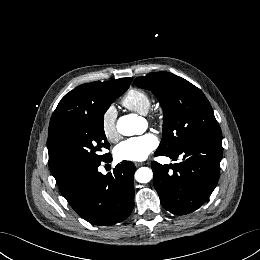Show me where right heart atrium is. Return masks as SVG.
<instances>
[{"instance_id": "right-heart-atrium-1", "label": "right heart atrium", "mask_w": 260, "mask_h": 260, "mask_svg": "<svg viewBox=\"0 0 260 260\" xmlns=\"http://www.w3.org/2000/svg\"><path fill=\"white\" fill-rule=\"evenodd\" d=\"M116 117L117 112L114 106H109L105 109L101 118V127L104 135L109 140H114L117 138L116 129Z\"/></svg>"}]
</instances>
